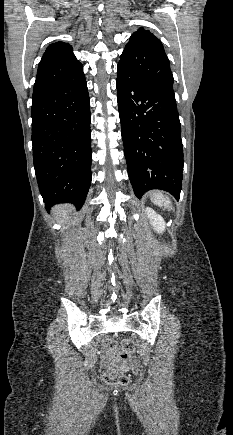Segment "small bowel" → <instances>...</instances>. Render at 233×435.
<instances>
[{
  "mask_svg": "<svg viewBox=\"0 0 233 435\" xmlns=\"http://www.w3.org/2000/svg\"><path fill=\"white\" fill-rule=\"evenodd\" d=\"M104 354H109L110 348L108 346H105L102 350ZM108 365L107 361H102L100 363L101 368H104ZM138 366V362L135 358L131 359L126 365H124V368H136Z\"/></svg>",
  "mask_w": 233,
  "mask_h": 435,
  "instance_id": "obj_1",
  "label": "small bowel"
}]
</instances>
